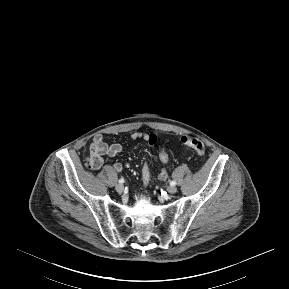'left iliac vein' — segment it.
I'll use <instances>...</instances> for the list:
<instances>
[{
	"label": "left iliac vein",
	"instance_id": "4c4485c4",
	"mask_svg": "<svg viewBox=\"0 0 289 289\" xmlns=\"http://www.w3.org/2000/svg\"><path fill=\"white\" fill-rule=\"evenodd\" d=\"M167 191H168V193H170V194H174V193L177 192V188H176L175 186H169V187L167 188Z\"/></svg>",
	"mask_w": 289,
	"mask_h": 289
}]
</instances>
